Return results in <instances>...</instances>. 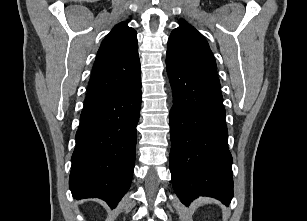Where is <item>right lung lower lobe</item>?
Instances as JSON below:
<instances>
[{"mask_svg": "<svg viewBox=\"0 0 307 221\" xmlns=\"http://www.w3.org/2000/svg\"><path fill=\"white\" fill-rule=\"evenodd\" d=\"M140 107L141 79L125 90L85 102L69 177L75 199L100 198L115 208L127 192Z\"/></svg>", "mask_w": 307, "mask_h": 221, "instance_id": "1", "label": "right lung lower lobe"}]
</instances>
